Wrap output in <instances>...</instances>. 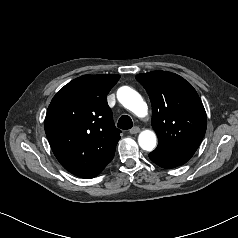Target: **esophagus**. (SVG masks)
Listing matches in <instances>:
<instances>
[{"mask_svg":"<svg viewBox=\"0 0 238 238\" xmlns=\"http://www.w3.org/2000/svg\"><path fill=\"white\" fill-rule=\"evenodd\" d=\"M139 132H140V128L137 127V126L131 128V129L129 130V133H130V134H137V133H139Z\"/></svg>","mask_w":238,"mask_h":238,"instance_id":"obj_1","label":"esophagus"}]
</instances>
